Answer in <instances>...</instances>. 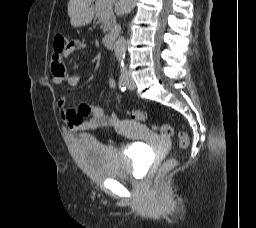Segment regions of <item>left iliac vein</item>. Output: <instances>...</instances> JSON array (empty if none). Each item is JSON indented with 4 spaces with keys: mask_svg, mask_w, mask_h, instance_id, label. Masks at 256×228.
<instances>
[{
    "mask_svg": "<svg viewBox=\"0 0 256 228\" xmlns=\"http://www.w3.org/2000/svg\"><path fill=\"white\" fill-rule=\"evenodd\" d=\"M127 87L130 90H133L135 88V82L130 73H127Z\"/></svg>",
    "mask_w": 256,
    "mask_h": 228,
    "instance_id": "1",
    "label": "left iliac vein"
}]
</instances>
